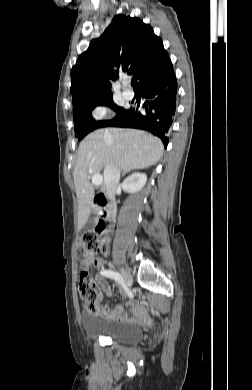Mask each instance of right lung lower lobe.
Instances as JSON below:
<instances>
[{"mask_svg":"<svg viewBox=\"0 0 252 390\" xmlns=\"http://www.w3.org/2000/svg\"><path fill=\"white\" fill-rule=\"evenodd\" d=\"M138 89L145 99L143 104L145 111L139 112L130 108L107 126L150 131L160 137L167 147V132L177 106V81L173 68L162 75L149 77L138 86Z\"/></svg>","mask_w":252,"mask_h":390,"instance_id":"right-lung-lower-lobe-1","label":"right lung lower lobe"}]
</instances>
